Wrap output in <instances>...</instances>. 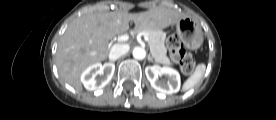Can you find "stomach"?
<instances>
[{
  "label": "stomach",
  "mask_w": 276,
  "mask_h": 120,
  "mask_svg": "<svg viewBox=\"0 0 276 120\" xmlns=\"http://www.w3.org/2000/svg\"><path fill=\"white\" fill-rule=\"evenodd\" d=\"M177 35L190 49H198L203 42V33L195 21L184 16L176 23Z\"/></svg>",
  "instance_id": "stomach-1"
}]
</instances>
